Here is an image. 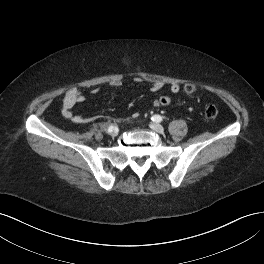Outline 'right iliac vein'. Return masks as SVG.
Segmentation results:
<instances>
[{
	"mask_svg": "<svg viewBox=\"0 0 264 264\" xmlns=\"http://www.w3.org/2000/svg\"><path fill=\"white\" fill-rule=\"evenodd\" d=\"M118 134V131L115 129L112 132H110V135L115 137Z\"/></svg>",
	"mask_w": 264,
	"mask_h": 264,
	"instance_id": "obj_1",
	"label": "right iliac vein"
}]
</instances>
